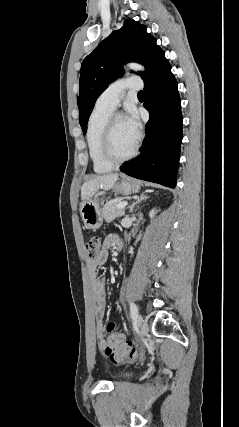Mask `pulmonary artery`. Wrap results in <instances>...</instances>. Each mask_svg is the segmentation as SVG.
Instances as JSON below:
<instances>
[{
    "label": "pulmonary artery",
    "instance_id": "obj_1",
    "mask_svg": "<svg viewBox=\"0 0 239 427\" xmlns=\"http://www.w3.org/2000/svg\"><path fill=\"white\" fill-rule=\"evenodd\" d=\"M143 88L137 76L126 77L112 83L97 99L96 107L113 111L121 101L126 90L139 91Z\"/></svg>",
    "mask_w": 239,
    "mask_h": 427
}]
</instances>
